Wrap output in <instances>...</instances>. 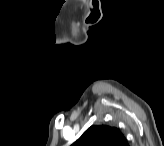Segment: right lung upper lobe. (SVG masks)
Listing matches in <instances>:
<instances>
[{
	"label": "right lung upper lobe",
	"mask_w": 164,
	"mask_h": 146,
	"mask_svg": "<svg viewBox=\"0 0 164 146\" xmlns=\"http://www.w3.org/2000/svg\"><path fill=\"white\" fill-rule=\"evenodd\" d=\"M73 145L128 146V143L124 135L116 127L98 124L89 127Z\"/></svg>",
	"instance_id": "right-lung-upper-lobe-1"
}]
</instances>
